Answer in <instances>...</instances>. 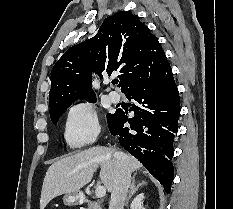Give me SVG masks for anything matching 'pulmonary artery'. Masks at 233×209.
Segmentation results:
<instances>
[{
	"instance_id": "pulmonary-artery-1",
	"label": "pulmonary artery",
	"mask_w": 233,
	"mask_h": 209,
	"mask_svg": "<svg viewBox=\"0 0 233 209\" xmlns=\"http://www.w3.org/2000/svg\"><path fill=\"white\" fill-rule=\"evenodd\" d=\"M110 100L113 102V103H118L121 99L120 97V94L116 91H111L109 94H108Z\"/></svg>"
}]
</instances>
